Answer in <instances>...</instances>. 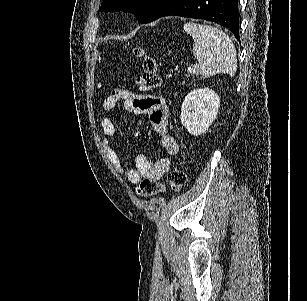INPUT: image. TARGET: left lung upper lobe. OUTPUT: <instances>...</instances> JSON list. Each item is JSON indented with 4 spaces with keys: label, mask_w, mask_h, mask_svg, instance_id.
I'll return each instance as SVG.
<instances>
[{
    "label": "left lung upper lobe",
    "mask_w": 307,
    "mask_h": 301,
    "mask_svg": "<svg viewBox=\"0 0 307 301\" xmlns=\"http://www.w3.org/2000/svg\"><path fill=\"white\" fill-rule=\"evenodd\" d=\"M175 0H103L100 11L131 12L137 15L140 23H149L156 20L159 15Z\"/></svg>",
    "instance_id": "left-lung-upper-lobe-1"
}]
</instances>
